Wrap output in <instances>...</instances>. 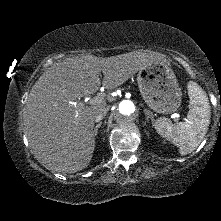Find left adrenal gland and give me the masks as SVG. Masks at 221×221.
<instances>
[{"instance_id":"obj_1","label":"left adrenal gland","mask_w":221,"mask_h":221,"mask_svg":"<svg viewBox=\"0 0 221 221\" xmlns=\"http://www.w3.org/2000/svg\"><path fill=\"white\" fill-rule=\"evenodd\" d=\"M144 112H145V115H147V116H146V119L148 120V119L150 118V119H151V122H152V124H153V121H154V119H153V113H152L150 110H147V109H145Z\"/></svg>"}]
</instances>
